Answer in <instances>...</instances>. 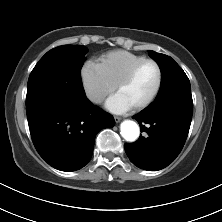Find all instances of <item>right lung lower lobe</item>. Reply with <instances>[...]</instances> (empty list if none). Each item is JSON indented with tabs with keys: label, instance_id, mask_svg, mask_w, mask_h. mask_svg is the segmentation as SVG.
I'll use <instances>...</instances> for the list:
<instances>
[{
	"label": "right lung lower lobe",
	"instance_id": "right-lung-lower-lobe-1",
	"mask_svg": "<svg viewBox=\"0 0 222 222\" xmlns=\"http://www.w3.org/2000/svg\"><path fill=\"white\" fill-rule=\"evenodd\" d=\"M26 112L36 150L61 171L84 167L91 159L97 132L115 124L112 115L87 98L75 106L41 104Z\"/></svg>",
	"mask_w": 222,
	"mask_h": 222
}]
</instances>
